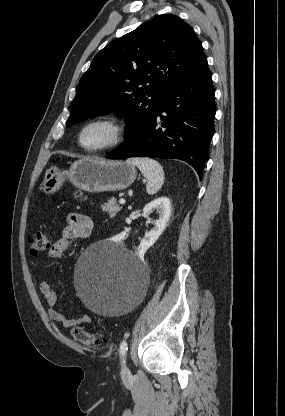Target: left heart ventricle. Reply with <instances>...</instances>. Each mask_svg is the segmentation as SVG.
Masks as SVG:
<instances>
[{"label": "left heart ventricle", "instance_id": "b2bd125f", "mask_svg": "<svg viewBox=\"0 0 285 416\" xmlns=\"http://www.w3.org/2000/svg\"><path fill=\"white\" fill-rule=\"evenodd\" d=\"M110 137V130L106 126L94 125L85 131L82 143L87 148H98L106 145Z\"/></svg>", "mask_w": 285, "mask_h": 416}]
</instances>
